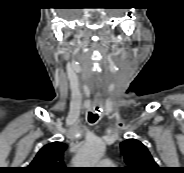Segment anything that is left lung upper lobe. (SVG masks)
Masks as SVG:
<instances>
[{"label":"left lung upper lobe","mask_w":184,"mask_h":173,"mask_svg":"<svg viewBox=\"0 0 184 173\" xmlns=\"http://www.w3.org/2000/svg\"><path fill=\"white\" fill-rule=\"evenodd\" d=\"M120 147L127 164L123 173H159L160 168L140 141L127 139Z\"/></svg>","instance_id":"5c2ea615"}]
</instances>
